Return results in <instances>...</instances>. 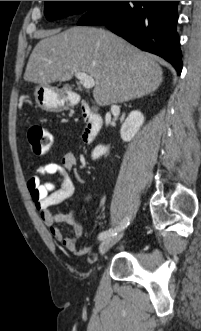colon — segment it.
I'll return each instance as SVG.
<instances>
[{"label":"colon","mask_w":201,"mask_h":331,"mask_svg":"<svg viewBox=\"0 0 201 331\" xmlns=\"http://www.w3.org/2000/svg\"><path fill=\"white\" fill-rule=\"evenodd\" d=\"M28 142L37 155H44L52 148L51 133L40 125H33L28 130Z\"/></svg>","instance_id":"5ec220e1"}]
</instances>
